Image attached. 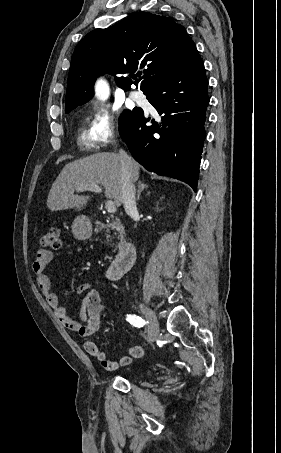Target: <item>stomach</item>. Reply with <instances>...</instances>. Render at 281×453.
I'll return each mask as SVG.
<instances>
[{"instance_id": "1", "label": "stomach", "mask_w": 281, "mask_h": 453, "mask_svg": "<svg viewBox=\"0 0 281 453\" xmlns=\"http://www.w3.org/2000/svg\"><path fill=\"white\" fill-rule=\"evenodd\" d=\"M72 233L76 239H89L92 235V224L88 216H77L73 220Z\"/></svg>"}]
</instances>
